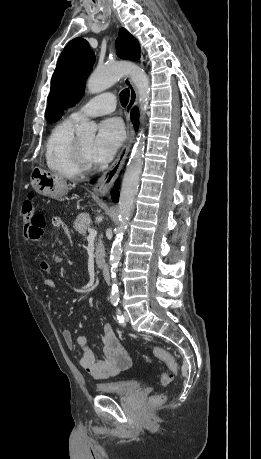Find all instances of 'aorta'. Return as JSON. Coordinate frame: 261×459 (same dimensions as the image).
<instances>
[{
    "label": "aorta",
    "instance_id": "1",
    "mask_svg": "<svg viewBox=\"0 0 261 459\" xmlns=\"http://www.w3.org/2000/svg\"><path fill=\"white\" fill-rule=\"evenodd\" d=\"M129 75L139 94L140 112L144 114L150 96V82L146 73L137 65L120 62L103 68H97L87 81V91L91 94L100 93L123 76ZM97 125L87 119H83L76 127V135L81 137H94ZM141 132L136 138L127 167L124 173L120 198H119V224L116 228V236L110 251V270L112 278L111 299L119 298L116 270L122 255L123 235L131 217L135 197L140 185V176L143 168L145 140Z\"/></svg>",
    "mask_w": 261,
    "mask_h": 459
}]
</instances>
